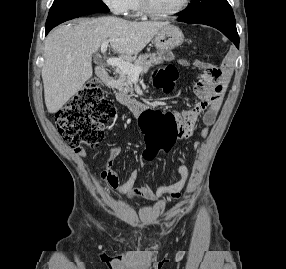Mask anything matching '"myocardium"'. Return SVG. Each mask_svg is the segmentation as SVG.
I'll list each match as a JSON object with an SVG mask.
<instances>
[{"instance_id":"1","label":"myocardium","mask_w":286,"mask_h":269,"mask_svg":"<svg viewBox=\"0 0 286 269\" xmlns=\"http://www.w3.org/2000/svg\"><path fill=\"white\" fill-rule=\"evenodd\" d=\"M139 1V7L141 10V13H143L145 16L152 18V19H168V18H172L178 14H180L181 12H183L189 5L190 0H183L181 5L171 11V12H167V13H157L155 12L150 4H149V0H138Z\"/></svg>"}]
</instances>
